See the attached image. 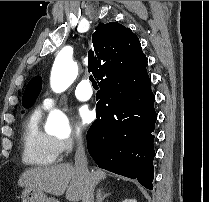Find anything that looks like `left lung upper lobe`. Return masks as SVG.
<instances>
[{"label":"left lung upper lobe","instance_id":"obj_1","mask_svg":"<svg viewBox=\"0 0 209 202\" xmlns=\"http://www.w3.org/2000/svg\"><path fill=\"white\" fill-rule=\"evenodd\" d=\"M41 88H42V78L40 76L34 77L27 84V87L25 89L22 98V105L24 108L28 109L33 105L38 95L40 94Z\"/></svg>","mask_w":209,"mask_h":202}]
</instances>
